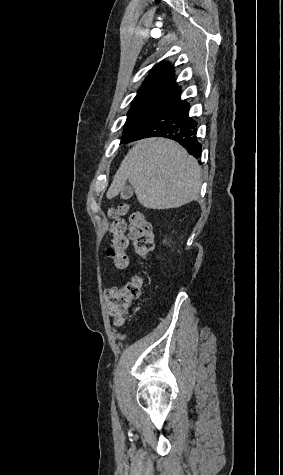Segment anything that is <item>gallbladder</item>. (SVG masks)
<instances>
[{
    "label": "gallbladder",
    "mask_w": 283,
    "mask_h": 475,
    "mask_svg": "<svg viewBox=\"0 0 283 475\" xmlns=\"http://www.w3.org/2000/svg\"><path fill=\"white\" fill-rule=\"evenodd\" d=\"M131 196H133V188H131V186H124L121 192V198H123V200H129Z\"/></svg>",
    "instance_id": "obj_1"
}]
</instances>
